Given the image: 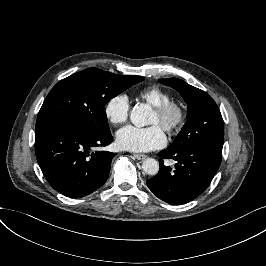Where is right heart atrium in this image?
<instances>
[{
  "instance_id": "right-heart-atrium-1",
  "label": "right heart atrium",
  "mask_w": 266,
  "mask_h": 266,
  "mask_svg": "<svg viewBox=\"0 0 266 266\" xmlns=\"http://www.w3.org/2000/svg\"><path fill=\"white\" fill-rule=\"evenodd\" d=\"M130 110V100L125 93L112 95L104 105L105 118L113 125L125 123L129 118Z\"/></svg>"
}]
</instances>
